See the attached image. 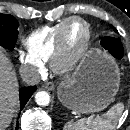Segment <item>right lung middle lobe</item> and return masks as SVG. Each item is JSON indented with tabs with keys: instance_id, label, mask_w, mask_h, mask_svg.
Listing matches in <instances>:
<instances>
[{
	"instance_id": "right-lung-middle-lobe-1",
	"label": "right lung middle lobe",
	"mask_w": 130,
	"mask_h": 130,
	"mask_svg": "<svg viewBox=\"0 0 130 130\" xmlns=\"http://www.w3.org/2000/svg\"><path fill=\"white\" fill-rule=\"evenodd\" d=\"M18 21L9 14H0V45L13 50L18 37Z\"/></svg>"
}]
</instances>
